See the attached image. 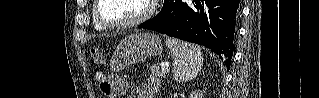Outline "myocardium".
<instances>
[{"label": "myocardium", "mask_w": 319, "mask_h": 98, "mask_svg": "<svg viewBox=\"0 0 319 98\" xmlns=\"http://www.w3.org/2000/svg\"><path fill=\"white\" fill-rule=\"evenodd\" d=\"M102 1L103 0H96L93 14H94L95 21L100 26H102L103 28H107V29L130 28V27H134V26H137L139 24H142L145 21H147L154 14L155 9H156V4H157L156 0H145V4H146L145 10L139 16H137L131 20H127V21L108 22L101 16V13H100Z\"/></svg>", "instance_id": "f54148a6"}]
</instances>
